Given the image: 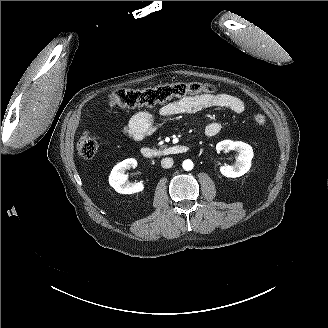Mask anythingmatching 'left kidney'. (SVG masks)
Masks as SVG:
<instances>
[{"mask_svg":"<svg viewBox=\"0 0 328 328\" xmlns=\"http://www.w3.org/2000/svg\"><path fill=\"white\" fill-rule=\"evenodd\" d=\"M216 150L236 151L238 156L233 165H224L220 167L222 175L230 178H236L247 173L251 167V160L254 156L253 149L250 145L241 141L223 140L216 145Z\"/></svg>","mask_w":328,"mask_h":328,"instance_id":"left-kidney-1","label":"left kidney"}]
</instances>
